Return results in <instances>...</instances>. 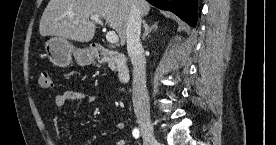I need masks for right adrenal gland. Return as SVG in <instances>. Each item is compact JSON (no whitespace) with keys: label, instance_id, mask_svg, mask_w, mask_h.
Segmentation results:
<instances>
[{"label":"right adrenal gland","instance_id":"right-adrenal-gland-1","mask_svg":"<svg viewBox=\"0 0 276 145\" xmlns=\"http://www.w3.org/2000/svg\"><path fill=\"white\" fill-rule=\"evenodd\" d=\"M158 26H157V23H155L154 25L152 26H149L145 20H143V28H144V33H143V36H142V39L145 40L146 37L149 35V33L156 29Z\"/></svg>","mask_w":276,"mask_h":145}]
</instances>
